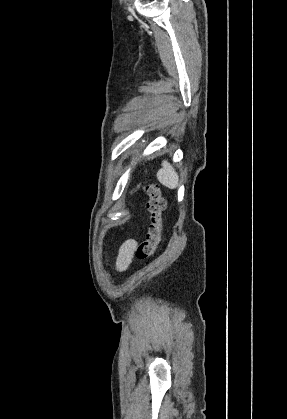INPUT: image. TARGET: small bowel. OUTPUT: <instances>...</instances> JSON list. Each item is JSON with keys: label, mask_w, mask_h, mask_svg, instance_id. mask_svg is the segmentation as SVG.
<instances>
[{"label": "small bowel", "mask_w": 287, "mask_h": 419, "mask_svg": "<svg viewBox=\"0 0 287 419\" xmlns=\"http://www.w3.org/2000/svg\"><path fill=\"white\" fill-rule=\"evenodd\" d=\"M136 246L137 241L134 239L127 240L121 245L115 264L117 271H124L128 268L132 262Z\"/></svg>", "instance_id": "1"}]
</instances>
